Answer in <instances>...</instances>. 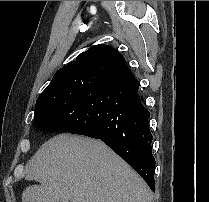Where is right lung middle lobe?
Returning a JSON list of instances; mask_svg holds the SVG:
<instances>
[{"label": "right lung middle lobe", "mask_w": 209, "mask_h": 202, "mask_svg": "<svg viewBox=\"0 0 209 202\" xmlns=\"http://www.w3.org/2000/svg\"><path fill=\"white\" fill-rule=\"evenodd\" d=\"M91 78L81 73L54 78L37 99L34 115L37 127L47 132L60 131L78 109Z\"/></svg>", "instance_id": "obj_1"}]
</instances>
